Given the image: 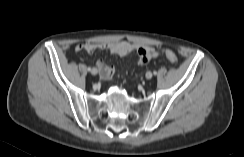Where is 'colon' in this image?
<instances>
[{
    "mask_svg": "<svg viewBox=\"0 0 244 157\" xmlns=\"http://www.w3.org/2000/svg\"><path fill=\"white\" fill-rule=\"evenodd\" d=\"M163 54L172 63H176L178 61V57L173 51L164 50ZM137 61L140 63H146L148 61V55L145 52H139L137 56Z\"/></svg>",
    "mask_w": 244,
    "mask_h": 157,
    "instance_id": "1",
    "label": "colon"
}]
</instances>
